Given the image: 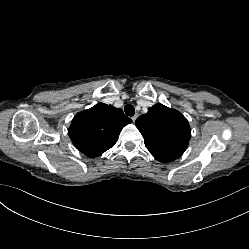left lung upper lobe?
<instances>
[{"mask_svg":"<svg viewBox=\"0 0 249 249\" xmlns=\"http://www.w3.org/2000/svg\"><path fill=\"white\" fill-rule=\"evenodd\" d=\"M135 125L144 137L149 152L160 162L179 158L187 149L191 130L187 119L177 110L156 104L137 118Z\"/></svg>","mask_w":249,"mask_h":249,"instance_id":"obj_1","label":"left lung upper lobe"}]
</instances>
